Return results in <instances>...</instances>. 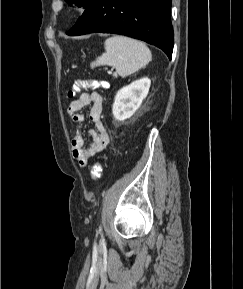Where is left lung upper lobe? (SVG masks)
Masks as SVG:
<instances>
[{
  "label": "left lung upper lobe",
  "instance_id": "1",
  "mask_svg": "<svg viewBox=\"0 0 243 289\" xmlns=\"http://www.w3.org/2000/svg\"><path fill=\"white\" fill-rule=\"evenodd\" d=\"M68 3H74L78 7L86 8L92 0H65Z\"/></svg>",
  "mask_w": 243,
  "mask_h": 289
}]
</instances>
